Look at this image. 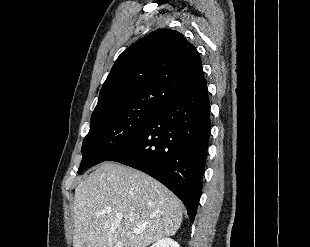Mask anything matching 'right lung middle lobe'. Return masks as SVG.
<instances>
[{
    "instance_id": "right-lung-middle-lobe-1",
    "label": "right lung middle lobe",
    "mask_w": 310,
    "mask_h": 247,
    "mask_svg": "<svg viewBox=\"0 0 310 247\" xmlns=\"http://www.w3.org/2000/svg\"><path fill=\"white\" fill-rule=\"evenodd\" d=\"M157 111L150 107H136L91 118L90 131L82 144L83 159L78 173L124 148Z\"/></svg>"
}]
</instances>
